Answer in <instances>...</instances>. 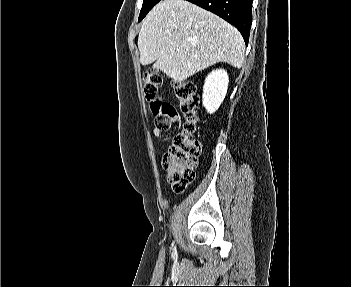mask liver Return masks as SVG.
Wrapping results in <instances>:
<instances>
[{
  "label": "liver",
  "instance_id": "6515ba94",
  "mask_svg": "<svg viewBox=\"0 0 351 287\" xmlns=\"http://www.w3.org/2000/svg\"><path fill=\"white\" fill-rule=\"evenodd\" d=\"M138 48L142 65L154 63L176 83L218 62L240 68L245 53L235 27L185 0L161 1L148 13Z\"/></svg>",
  "mask_w": 351,
  "mask_h": 287
}]
</instances>
